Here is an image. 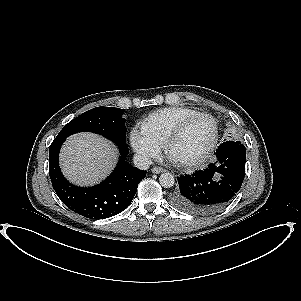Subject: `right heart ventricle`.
Listing matches in <instances>:
<instances>
[{
  "mask_svg": "<svg viewBox=\"0 0 301 301\" xmlns=\"http://www.w3.org/2000/svg\"><path fill=\"white\" fill-rule=\"evenodd\" d=\"M199 112L186 107H169L156 110L141 122V130L159 145L185 119Z\"/></svg>",
  "mask_w": 301,
  "mask_h": 301,
  "instance_id": "e07e8e85",
  "label": "right heart ventricle"
}]
</instances>
